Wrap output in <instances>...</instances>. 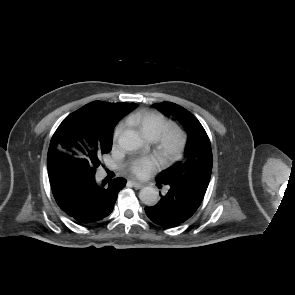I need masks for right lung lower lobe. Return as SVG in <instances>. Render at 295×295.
I'll list each match as a JSON object with an SVG mask.
<instances>
[{"mask_svg": "<svg viewBox=\"0 0 295 295\" xmlns=\"http://www.w3.org/2000/svg\"><path fill=\"white\" fill-rule=\"evenodd\" d=\"M49 180L57 204L80 225L102 221L113 210L118 192L125 187L123 178H106L98 183L95 171H85L62 157L48 164Z\"/></svg>", "mask_w": 295, "mask_h": 295, "instance_id": "obj_1", "label": "right lung lower lobe"}]
</instances>
